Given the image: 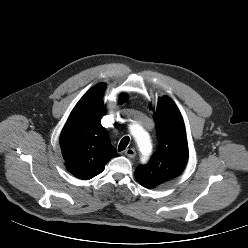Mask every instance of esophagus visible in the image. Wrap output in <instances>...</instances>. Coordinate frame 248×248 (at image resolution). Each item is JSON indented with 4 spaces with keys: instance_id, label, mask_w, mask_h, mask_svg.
<instances>
[{
    "instance_id": "esophagus-1",
    "label": "esophagus",
    "mask_w": 248,
    "mask_h": 248,
    "mask_svg": "<svg viewBox=\"0 0 248 248\" xmlns=\"http://www.w3.org/2000/svg\"><path fill=\"white\" fill-rule=\"evenodd\" d=\"M125 155L129 158H134L136 155V151L133 148H128L125 150Z\"/></svg>"
}]
</instances>
